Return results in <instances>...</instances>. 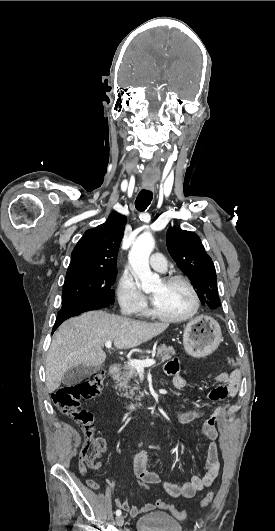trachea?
Masks as SVG:
<instances>
[{
    "instance_id": "trachea-1",
    "label": "trachea",
    "mask_w": 275,
    "mask_h": 531,
    "mask_svg": "<svg viewBox=\"0 0 275 531\" xmlns=\"http://www.w3.org/2000/svg\"><path fill=\"white\" fill-rule=\"evenodd\" d=\"M153 198V193L148 189H142L135 201V206L138 211H145Z\"/></svg>"
}]
</instances>
